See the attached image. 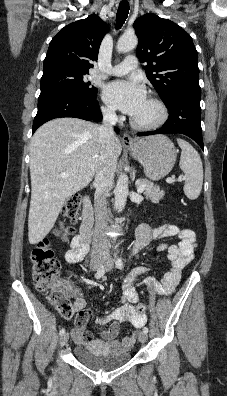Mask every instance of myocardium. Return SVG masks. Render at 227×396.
I'll use <instances>...</instances> for the list:
<instances>
[{"mask_svg":"<svg viewBox=\"0 0 227 396\" xmlns=\"http://www.w3.org/2000/svg\"><path fill=\"white\" fill-rule=\"evenodd\" d=\"M149 101L157 107L159 111V116L157 117L156 120L149 123H142L134 118H131L130 119L131 125L138 130H143V131L155 130L163 126L168 120L169 111L166 104L158 97H150Z\"/></svg>","mask_w":227,"mask_h":396,"instance_id":"myocardium-1","label":"myocardium"}]
</instances>
